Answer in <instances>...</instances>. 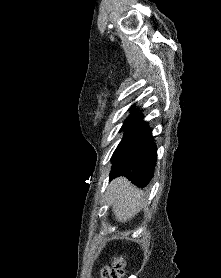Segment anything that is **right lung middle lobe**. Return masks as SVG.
Returning a JSON list of instances; mask_svg holds the SVG:
<instances>
[{
  "label": "right lung middle lobe",
  "mask_w": 221,
  "mask_h": 278,
  "mask_svg": "<svg viewBox=\"0 0 221 278\" xmlns=\"http://www.w3.org/2000/svg\"><path fill=\"white\" fill-rule=\"evenodd\" d=\"M145 124L146 122L143 121V116L138 111L129 116L120 130H124L125 133L117 149L127 143Z\"/></svg>",
  "instance_id": "1"
}]
</instances>
